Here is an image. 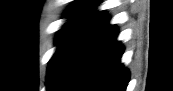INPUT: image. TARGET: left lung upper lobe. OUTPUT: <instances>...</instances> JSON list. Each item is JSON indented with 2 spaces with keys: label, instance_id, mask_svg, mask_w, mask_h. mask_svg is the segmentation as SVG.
Listing matches in <instances>:
<instances>
[{
  "label": "left lung upper lobe",
  "instance_id": "5c2ea615",
  "mask_svg": "<svg viewBox=\"0 0 173 91\" xmlns=\"http://www.w3.org/2000/svg\"><path fill=\"white\" fill-rule=\"evenodd\" d=\"M98 4L97 0L79 1L74 3L65 14V17L71 19L59 31L56 38L59 47L49 62L46 81L48 91L54 88L73 51L105 16V11L95 10Z\"/></svg>",
  "mask_w": 173,
  "mask_h": 91
}]
</instances>
